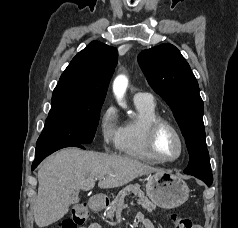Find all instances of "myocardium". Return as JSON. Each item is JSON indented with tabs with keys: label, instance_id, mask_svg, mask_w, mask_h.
Instances as JSON below:
<instances>
[{
	"label": "myocardium",
	"instance_id": "obj_1",
	"mask_svg": "<svg viewBox=\"0 0 238 228\" xmlns=\"http://www.w3.org/2000/svg\"><path fill=\"white\" fill-rule=\"evenodd\" d=\"M163 129H168L173 134L179 145V153L174 158H164L159 154L157 150V138ZM146 145L150 154L161 163H170L177 161L183 155L185 148L183 138L178 129L170 121L164 118H158L149 124L146 134Z\"/></svg>",
	"mask_w": 238,
	"mask_h": 228
}]
</instances>
